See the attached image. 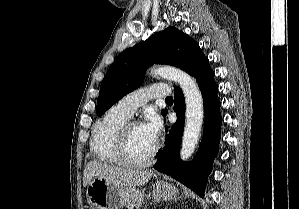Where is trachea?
<instances>
[{"mask_svg":"<svg viewBox=\"0 0 299 209\" xmlns=\"http://www.w3.org/2000/svg\"><path fill=\"white\" fill-rule=\"evenodd\" d=\"M165 100L166 101H173V98L172 97H167Z\"/></svg>","mask_w":299,"mask_h":209,"instance_id":"1","label":"trachea"}]
</instances>
